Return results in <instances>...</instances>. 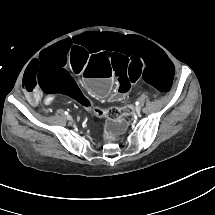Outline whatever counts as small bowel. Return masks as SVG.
I'll return each instance as SVG.
<instances>
[{"instance_id": "obj_1", "label": "small bowel", "mask_w": 215, "mask_h": 215, "mask_svg": "<svg viewBox=\"0 0 215 215\" xmlns=\"http://www.w3.org/2000/svg\"><path fill=\"white\" fill-rule=\"evenodd\" d=\"M114 97L118 101H120L122 99V95H120V94H114ZM29 101L31 104L36 105L38 103V97L36 95H34V96L30 97Z\"/></svg>"}]
</instances>
